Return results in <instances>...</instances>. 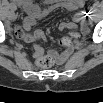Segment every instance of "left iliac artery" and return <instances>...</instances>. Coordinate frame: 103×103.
Wrapping results in <instances>:
<instances>
[{"instance_id": "left-iliac-artery-1", "label": "left iliac artery", "mask_w": 103, "mask_h": 103, "mask_svg": "<svg viewBox=\"0 0 103 103\" xmlns=\"http://www.w3.org/2000/svg\"><path fill=\"white\" fill-rule=\"evenodd\" d=\"M87 15H88L89 17H91V18L94 16V9H93L92 7H90V8L88 9Z\"/></svg>"}]
</instances>
